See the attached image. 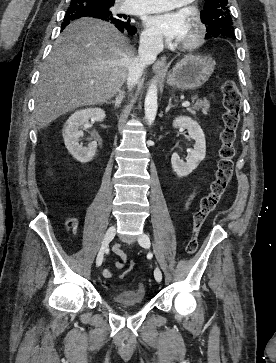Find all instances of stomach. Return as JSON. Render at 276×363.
Returning a JSON list of instances; mask_svg holds the SVG:
<instances>
[{
	"mask_svg": "<svg viewBox=\"0 0 276 363\" xmlns=\"http://www.w3.org/2000/svg\"><path fill=\"white\" fill-rule=\"evenodd\" d=\"M214 67L210 57L186 55L167 73L166 82L181 90H196L208 81Z\"/></svg>",
	"mask_w": 276,
	"mask_h": 363,
	"instance_id": "0dacf381",
	"label": "stomach"
}]
</instances>
